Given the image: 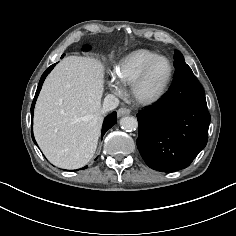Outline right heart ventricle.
Returning a JSON list of instances; mask_svg holds the SVG:
<instances>
[{"label":"right heart ventricle","instance_id":"e07e8e85","mask_svg":"<svg viewBox=\"0 0 236 236\" xmlns=\"http://www.w3.org/2000/svg\"><path fill=\"white\" fill-rule=\"evenodd\" d=\"M158 53L149 49H138L122 57L114 66V77L124 86L132 85L142 69Z\"/></svg>","mask_w":236,"mask_h":236}]
</instances>
